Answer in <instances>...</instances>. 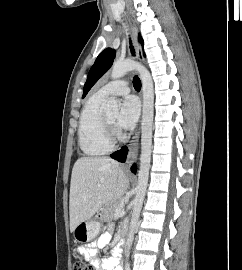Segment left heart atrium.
Masks as SVG:
<instances>
[{
  "instance_id": "left-heart-atrium-1",
  "label": "left heart atrium",
  "mask_w": 242,
  "mask_h": 270,
  "mask_svg": "<svg viewBox=\"0 0 242 270\" xmlns=\"http://www.w3.org/2000/svg\"><path fill=\"white\" fill-rule=\"evenodd\" d=\"M140 114V104L136 97L128 96L126 97L122 104L120 113L117 119V125L119 128L124 130L132 129Z\"/></svg>"
}]
</instances>
